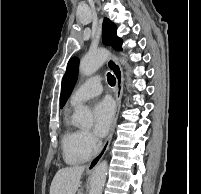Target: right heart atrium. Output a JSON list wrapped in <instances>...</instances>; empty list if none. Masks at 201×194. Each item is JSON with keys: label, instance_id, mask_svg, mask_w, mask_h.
<instances>
[{"label": "right heart atrium", "instance_id": "obj_1", "mask_svg": "<svg viewBox=\"0 0 201 194\" xmlns=\"http://www.w3.org/2000/svg\"><path fill=\"white\" fill-rule=\"evenodd\" d=\"M80 142H81V145L86 150H89L91 152L93 150H95V148L97 146V140H96V138L89 131H81Z\"/></svg>", "mask_w": 201, "mask_h": 194}]
</instances>
